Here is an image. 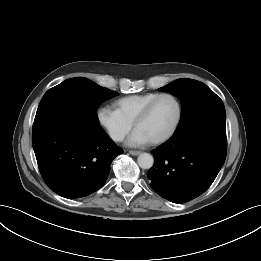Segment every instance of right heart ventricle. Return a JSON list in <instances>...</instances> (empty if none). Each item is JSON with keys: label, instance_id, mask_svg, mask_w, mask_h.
I'll list each match as a JSON object with an SVG mask.
<instances>
[{"label": "right heart ventricle", "instance_id": "e07e8e85", "mask_svg": "<svg viewBox=\"0 0 261 261\" xmlns=\"http://www.w3.org/2000/svg\"><path fill=\"white\" fill-rule=\"evenodd\" d=\"M159 93L129 95L116 100L114 109L127 121L133 124L140 111Z\"/></svg>", "mask_w": 261, "mask_h": 261}]
</instances>
